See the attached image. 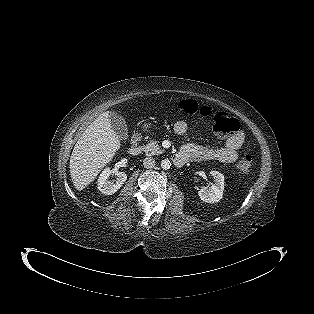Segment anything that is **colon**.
I'll return each instance as SVG.
<instances>
[{
	"instance_id": "5ec220e1",
	"label": "colon",
	"mask_w": 314,
	"mask_h": 314,
	"mask_svg": "<svg viewBox=\"0 0 314 314\" xmlns=\"http://www.w3.org/2000/svg\"><path fill=\"white\" fill-rule=\"evenodd\" d=\"M180 106L182 111L187 115L199 113L204 118H210L212 129L219 136L233 135L239 130L237 119L228 116L224 112H213L208 107H200L195 101L189 99L183 100ZM251 167V156L248 154L241 156L237 163V168L242 173H248L251 170Z\"/></svg>"
}]
</instances>
